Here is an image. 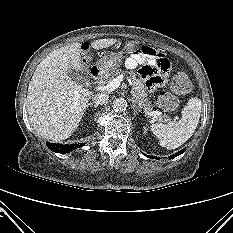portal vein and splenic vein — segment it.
Returning a JSON list of instances; mask_svg holds the SVG:
<instances>
[{"mask_svg":"<svg viewBox=\"0 0 233 233\" xmlns=\"http://www.w3.org/2000/svg\"><path fill=\"white\" fill-rule=\"evenodd\" d=\"M122 81H123V76L120 75V76L114 78L113 80H111L107 85L98 86V87H96V89L99 91L111 92V91L117 89L120 86ZM147 115L150 117H158V116L162 115V112L151 111V112H147Z\"/></svg>","mask_w":233,"mask_h":233,"instance_id":"1","label":"portal vein and splenic vein"}]
</instances>
